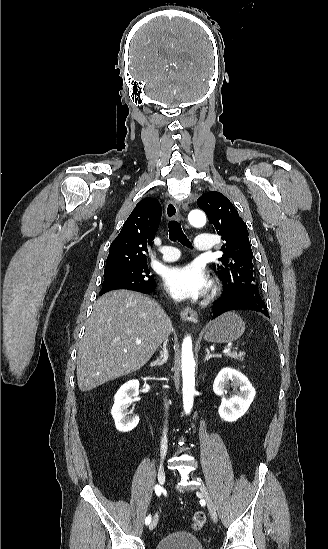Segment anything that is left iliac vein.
Segmentation results:
<instances>
[{"label":"left iliac vein","instance_id":"obj_1","mask_svg":"<svg viewBox=\"0 0 328 549\" xmlns=\"http://www.w3.org/2000/svg\"><path fill=\"white\" fill-rule=\"evenodd\" d=\"M199 491L203 495V498L206 502L209 514H210L213 522L216 523L217 520H218L217 512H216L215 504H214V502L211 498L210 493L208 492L207 488L204 485H200Z\"/></svg>","mask_w":328,"mask_h":549}]
</instances>
